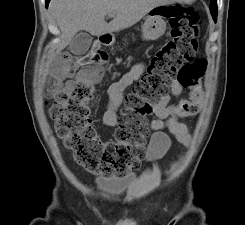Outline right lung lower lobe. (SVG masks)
<instances>
[{
  "label": "right lung lower lobe",
  "instance_id": "obj_1",
  "mask_svg": "<svg viewBox=\"0 0 245 225\" xmlns=\"http://www.w3.org/2000/svg\"><path fill=\"white\" fill-rule=\"evenodd\" d=\"M50 0H46V7H48V3H49Z\"/></svg>",
  "mask_w": 245,
  "mask_h": 225
}]
</instances>
